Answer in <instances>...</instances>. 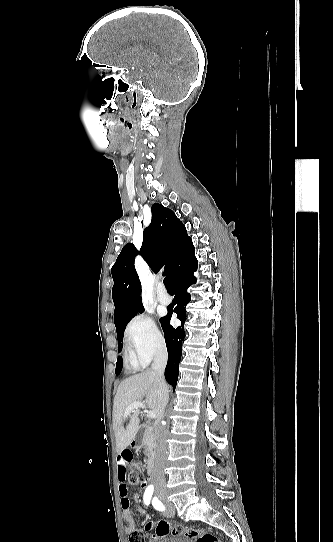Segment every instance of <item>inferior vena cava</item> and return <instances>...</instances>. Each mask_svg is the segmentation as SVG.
I'll use <instances>...</instances> for the list:
<instances>
[{
  "label": "inferior vena cava",
  "mask_w": 333,
  "mask_h": 542,
  "mask_svg": "<svg viewBox=\"0 0 333 542\" xmlns=\"http://www.w3.org/2000/svg\"><path fill=\"white\" fill-rule=\"evenodd\" d=\"M167 360V350L166 348H161V350H157L154 356L153 364H151V374H153L155 378L157 388V412L159 414L157 418L158 422L155 428L157 442L155 462L150 472V482L154 484L156 492H158L159 488H165L166 486L165 466L167 460V442L166 428L163 426L162 420L164 418L163 414L169 398L168 386L164 378V370L167 366Z\"/></svg>",
  "instance_id": "obj_1"
}]
</instances>
